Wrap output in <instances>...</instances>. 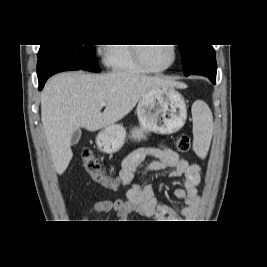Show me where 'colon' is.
<instances>
[{"label":"colon","mask_w":267,"mask_h":267,"mask_svg":"<svg viewBox=\"0 0 267 267\" xmlns=\"http://www.w3.org/2000/svg\"><path fill=\"white\" fill-rule=\"evenodd\" d=\"M175 146L180 152L189 151L191 146L190 137L184 133L178 135L175 140ZM81 160L83 170L93 182L108 189L122 188V183L117 182L119 179H114L106 172L90 149L86 148L82 151Z\"/></svg>","instance_id":"5ec220e1"}]
</instances>
